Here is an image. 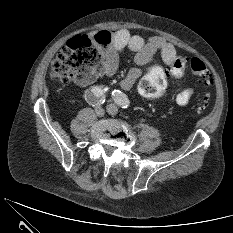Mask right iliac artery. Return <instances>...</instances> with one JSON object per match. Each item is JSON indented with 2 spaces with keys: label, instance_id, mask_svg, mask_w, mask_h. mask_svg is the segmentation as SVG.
Listing matches in <instances>:
<instances>
[{
  "label": "right iliac artery",
  "instance_id": "obj_1",
  "mask_svg": "<svg viewBox=\"0 0 233 233\" xmlns=\"http://www.w3.org/2000/svg\"><path fill=\"white\" fill-rule=\"evenodd\" d=\"M108 91V87H93L86 93V100L92 106H100L105 102V94Z\"/></svg>",
  "mask_w": 233,
  "mask_h": 233
}]
</instances>
